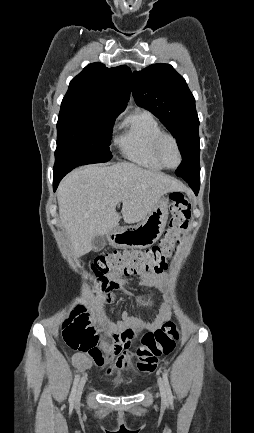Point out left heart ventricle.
<instances>
[{
	"instance_id": "obj_1",
	"label": "left heart ventricle",
	"mask_w": 254,
	"mask_h": 433,
	"mask_svg": "<svg viewBox=\"0 0 254 433\" xmlns=\"http://www.w3.org/2000/svg\"><path fill=\"white\" fill-rule=\"evenodd\" d=\"M159 153L162 161L170 167L177 165L179 161L178 153L174 143L170 139H164L160 145Z\"/></svg>"
}]
</instances>
